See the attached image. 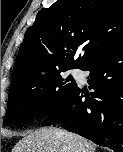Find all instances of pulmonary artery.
<instances>
[{"label":"pulmonary artery","instance_id":"pulmonary-artery-1","mask_svg":"<svg viewBox=\"0 0 123 152\" xmlns=\"http://www.w3.org/2000/svg\"><path fill=\"white\" fill-rule=\"evenodd\" d=\"M72 74H73V75H78V74H79V71H78V70H73V71H72Z\"/></svg>","mask_w":123,"mask_h":152}]
</instances>
